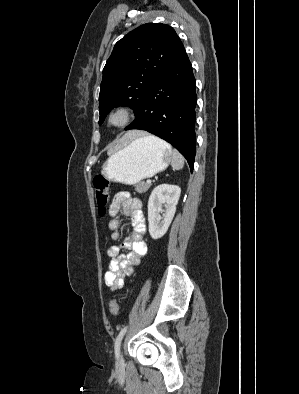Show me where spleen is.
Returning a JSON list of instances; mask_svg holds the SVG:
<instances>
[{
  "instance_id": "1",
  "label": "spleen",
  "mask_w": 299,
  "mask_h": 394,
  "mask_svg": "<svg viewBox=\"0 0 299 394\" xmlns=\"http://www.w3.org/2000/svg\"><path fill=\"white\" fill-rule=\"evenodd\" d=\"M152 141H155L167 148L171 151V166L174 170H180L184 166V158L183 156L175 149H171V146L164 142L163 140L156 138L154 136H148Z\"/></svg>"
}]
</instances>
